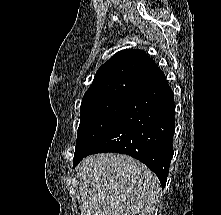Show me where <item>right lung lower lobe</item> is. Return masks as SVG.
<instances>
[{
    "label": "right lung lower lobe",
    "mask_w": 221,
    "mask_h": 215,
    "mask_svg": "<svg viewBox=\"0 0 221 215\" xmlns=\"http://www.w3.org/2000/svg\"><path fill=\"white\" fill-rule=\"evenodd\" d=\"M174 97L165 79L134 97L105 134L84 156L102 152L127 154L143 162L164 187L173 147Z\"/></svg>",
    "instance_id": "1"
}]
</instances>
